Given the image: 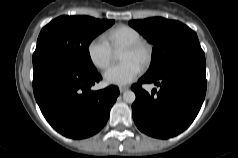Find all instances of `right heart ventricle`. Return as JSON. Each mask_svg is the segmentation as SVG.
Masks as SVG:
<instances>
[{"instance_id":"e07e8e85","label":"right heart ventricle","mask_w":238,"mask_h":158,"mask_svg":"<svg viewBox=\"0 0 238 158\" xmlns=\"http://www.w3.org/2000/svg\"><path fill=\"white\" fill-rule=\"evenodd\" d=\"M105 38L113 50H118L130 43L142 40V35L137 29L122 25L109 30Z\"/></svg>"}]
</instances>
